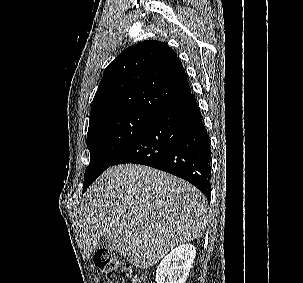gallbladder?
<instances>
[{
	"label": "gallbladder",
	"mask_w": 303,
	"mask_h": 283,
	"mask_svg": "<svg viewBox=\"0 0 303 283\" xmlns=\"http://www.w3.org/2000/svg\"><path fill=\"white\" fill-rule=\"evenodd\" d=\"M97 248L113 250V240L110 237H101L96 245Z\"/></svg>",
	"instance_id": "1"
}]
</instances>
